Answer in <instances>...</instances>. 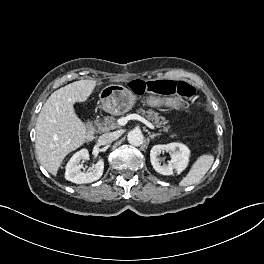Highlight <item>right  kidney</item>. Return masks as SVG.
I'll list each match as a JSON object with an SVG mask.
<instances>
[{"label":"right kidney","instance_id":"1","mask_svg":"<svg viewBox=\"0 0 264 264\" xmlns=\"http://www.w3.org/2000/svg\"><path fill=\"white\" fill-rule=\"evenodd\" d=\"M89 159L87 149L76 152L66 165L65 179L76 184L91 183L101 178L104 170V161L100 159L90 172H82L83 160Z\"/></svg>","mask_w":264,"mask_h":264}]
</instances>
